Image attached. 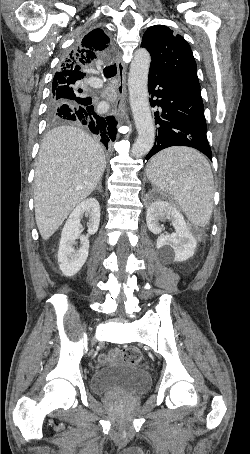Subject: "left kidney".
Here are the masks:
<instances>
[{
  "mask_svg": "<svg viewBox=\"0 0 250 454\" xmlns=\"http://www.w3.org/2000/svg\"><path fill=\"white\" fill-rule=\"evenodd\" d=\"M164 220L171 221L172 226L175 228L174 233H161L163 228L160 222ZM146 222L148 229L152 233L159 235L156 247L163 256L182 262L194 255L197 240L176 206L162 199L153 201L147 209Z\"/></svg>",
  "mask_w": 250,
  "mask_h": 454,
  "instance_id": "5707ae66",
  "label": "left kidney"
}]
</instances>
